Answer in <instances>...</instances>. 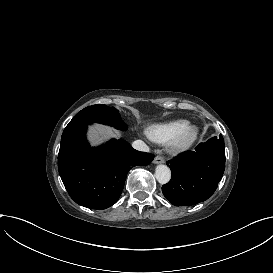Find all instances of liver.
<instances>
[{
	"label": "liver",
	"mask_w": 273,
	"mask_h": 273,
	"mask_svg": "<svg viewBox=\"0 0 273 273\" xmlns=\"http://www.w3.org/2000/svg\"><path fill=\"white\" fill-rule=\"evenodd\" d=\"M124 135V131L113 126L89 122L85 130V141L92 149H98L112 139H120Z\"/></svg>",
	"instance_id": "1"
}]
</instances>
